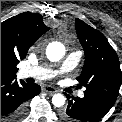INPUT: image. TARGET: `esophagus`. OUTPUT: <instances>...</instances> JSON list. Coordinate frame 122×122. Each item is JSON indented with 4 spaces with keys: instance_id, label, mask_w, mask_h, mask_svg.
Segmentation results:
<instances>
[{
    "instance_id": "obj_1",
    "label": "esophagus",
    "mask_w": 122,
    "mask_h": 122,
    "mask_svg": "<svg viewBox=\"0 0 122 122\" xmlns=\"http://www.w3.org/2000/svg\"><path fill=\"white\" fill-rule=\"evenodd\" d=\"M44 91L51 95L57 92V90L52 86H45Z\"/></svg>"
}]
</instances>
